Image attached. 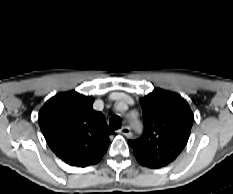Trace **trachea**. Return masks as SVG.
<instances>
[{"mask_svg": "<svg viewBox=\"0 0 233 194\" xmlns=\"http://www.w3.org/2000/svg\"><path fill=\"white\" fill-rule=\"evenodd\" d=\"M109 126L113 130H117V129L121 128V118L119 116H113L109 120Z\"/></svg>", "mask_w": 233, "mask_h": 194, "instance_id": "1", "label": "trachea"}]
</instances>
